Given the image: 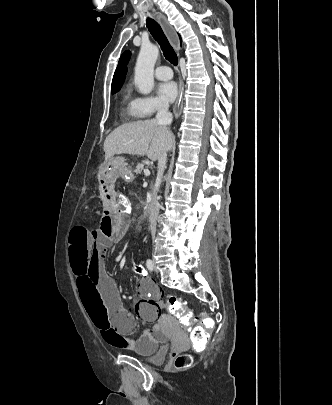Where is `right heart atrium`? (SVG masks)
<instances>
[{
    "instance_id": "right-heart-atrium-1",
    "label": "right heart atrium",
    "mask_w": 332,
    "mask_h": 405,
    "mask_svg": "<svg viewBox=\"0 0 332 405\" xmlns=\"http://www.w3.org/2000/svg\"><path fill=\"white\" fill-rule=\"evenodd\" d=\"M136 106L141 117H151L168 107L165 101L153 96L137 98Z\"/></svg>"
}]
</instances>
